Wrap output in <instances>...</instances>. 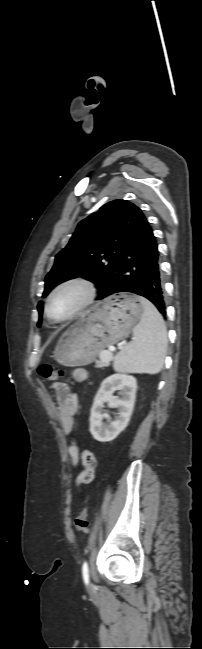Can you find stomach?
Returning a JSON list of instances; mask_svg holds the SVG:
<instances>
[{"mask_svg":"<svg viewBox=\"0 0 202 649\" xmlns=\"http://www.w3.org/2000/svg\"><path fill=\"white\" fill-rule=\"evenodd\" d=\"M143 306L131 294L112 295L76 321L59 338L53 358L64 366L86 365L109 345L126 338L139 323Z\"/></svg>","mask_w":202,"mask_h":649,"instance_id":"0dacf381","label":"stomach"}]
</instances>
